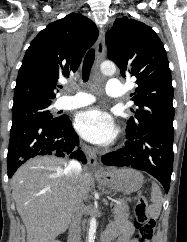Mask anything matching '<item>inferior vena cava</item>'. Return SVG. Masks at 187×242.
Masks as SVG:
<instances>
[{
  "instance_id": "inferior-vena-cava-1",
  "label": "inferior vena cava",
  "mask_w": 187,
  "mask_h": 242,
  "mask_svg": "<svg viewBox=\"0 0 187 242\" xmlns=\"http://www.w3.org/2000/svg\"><path fill=\"white\" fill-rule=\"evenodd\" d=\"M81 164L76 160H71L66 167V175L71 179H77L81 174ZM83 213V201L79 199L74 206V211L70 223L68 242H82L81 240V216Z\"/></svg>"
}]
</instances>
